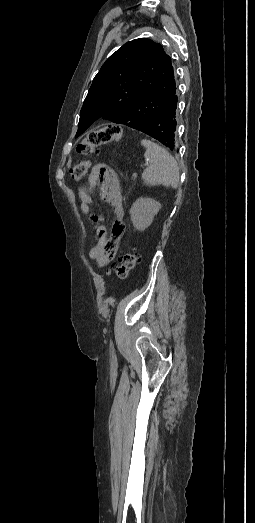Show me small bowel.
Listing matches in <instances>:
<instances>
[{
  "mask_svg": "<svg viewBox=\"0 0 255 523\" xmlns=\"http://www.w3.org/2000/svg\"><path fill=\"white\" fill-rule=\"evenodd\" d=\"M97 186L100 187L102 198L111 205L116 215L110 235L102 225L103 217L91 211L92 190ZM79 198L80 209L88 216L94 230V244L89 251V258L99 267H104L115 259L125 231L124 206L116 173L107 164H97L89 173L86 185L79 189Z\"/></svg>",
  "mask_w": 255,
  "mask_h": 523,
  "instance_id": "obj_1",
  "label": "small bowel"
}]
</instances>
